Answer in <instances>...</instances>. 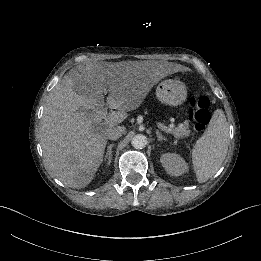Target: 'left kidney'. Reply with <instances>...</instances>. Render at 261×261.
<instances>
[{
    "label": "left kidney",
    "instance_id": "left-kidney-1",
    "mask_svg": "<svg viewBox=\"0 0 261 261\" xmlns=\"http://www.w3.org/2000/svg\"><path fill=\"white\" fill-rule=\"evenodd\" d=\"M160 162L166 172L172 176H181L188 172V164L178 154L175 153H164L160 157Z\"/></svg>",
    "mask_w": 261,
    "mask_h": 261
}]
</instances>
